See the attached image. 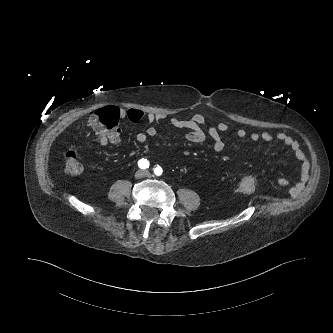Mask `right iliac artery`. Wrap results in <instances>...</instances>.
<instances>
[{"label":"right iliac artery","mask_w":333,"mask_h":333,"mask_svg":"<svg viewBox=\"0 0 333 333\" xmlns=\"http://www.w3.org/2000/svg\"><path fill=\"white\" fill-rule=\"evenodd\" d=\"M149 165L150 164H149V161L147 159L142 158L138 161V166L141 169H147V168H149Z\"/></svg>","instance_id":"obj_1"}]
</instances>
